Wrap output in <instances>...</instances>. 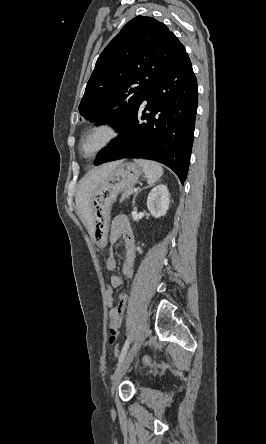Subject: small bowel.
Masks as SVG:
<instances>
[{
  "label": "small bowel",
  "mask_w": 266,
  "mask_h": 444,
  "mask_svg": "<svg viewBox=\"0 0 266 444\" xmlns=\"http://www.w3.org/2000/svg\"><path fill=\"white\" fill-rule=\"evenodd\" d=\"M121 237H123L125 256L122 265V273L126 277H131L134 271V261H135V245L134 238L130 228L129 221L126 216L118 215L113 219L109 243L111 245L115 244ZM117 267V260L115 256L110 253L106 259V268L108 271H115ZM111 284L113 287H120L123 284V280L118 275L111 276ZM128 296L126 293H120L118 297V303L109 312V331L111 333V342H113L122 326V320L124 311L126 308Z\"/></svg>",
  "instance_id": "small-bowel-1"
}]
</instances>
